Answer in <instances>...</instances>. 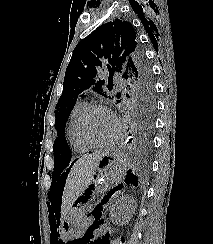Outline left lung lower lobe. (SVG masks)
<instances>
[{"instance_id":"0a47b994","label":"left lung lower lobe","mask_w":213,"mask_h":244,"mask_svg":"<svg viewBox=\"0 0 213 244\" xmlns=\"http://www.w3.org/2000/svg\"><path fill=\"white\" fill-rule=\"evenodd\" d=\"M127 114L129 116L126 142L128 150L136 156L145 157L152 149L155 118L153 115L134 110H128ZM127 181L129 183V180Z\"/></svg>"}]
</instances>
